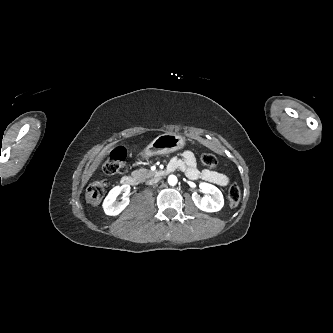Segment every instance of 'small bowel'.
Wrapping results in <instances>:
<instances>
[{
    "instance_id": "small-bowel-1",
    "label": "small bowel",
    "mask_w": 333,
    "mask_h": 333,
    "mask_svg": "<svg viewBox=\"0 0 333 333\" xmlns=\"http://www.w3.org/2000/svg\"><path fill=\"white\" fill-rule=\"evenodd\" d=\"M169 164L176 169L184 171L186 176L192 180H202L222 187L227 186L230 181L226 174L208 169L199 170L197 168L195 155L190 150H185L182 154V158H174Z\"/></svg>"
}]
</instances>
